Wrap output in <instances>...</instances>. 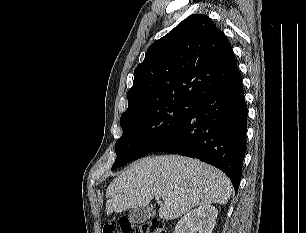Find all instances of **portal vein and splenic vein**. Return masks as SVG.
I'll use <instances>...</instances> for the list:
<instances>
[{"mask_svg":"<svg viewBox=\"0 0 306 233\" xmlns=\"http://www.w3.org/2000/svg\"><path fill=\"white\" fill-rule=\"evenodd\" d=\"M156 199L159 200V199H160V196H156Z\"/></svg>","mask_w":306,"mask_h":233,"instance_id":"18ae733b","label":"portal vein and splenic vein"}]
</instances>
